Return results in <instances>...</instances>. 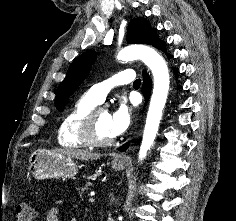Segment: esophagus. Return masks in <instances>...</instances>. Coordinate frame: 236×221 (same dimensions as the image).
Masks as SVG:
<instances>
[{
	"label": "esophagus",
	"instance_id": "1",
	"mask_svg": "<svg viewBox=\"0 0 236 221\" xmlns=\"http://www.w3.org/2000/svg\"><path fill=\"white\" fill-rule=\"evenodd\" d=\"M122 159L120 157H116L115 161H121Z\"/></svg>",
	"mask_w": 236,
	"mask_h": 221
}]
</instances>
